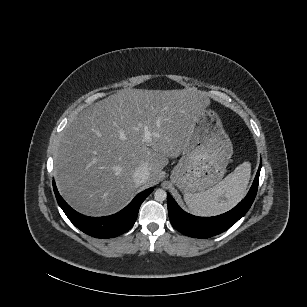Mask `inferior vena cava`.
<instances>
[{
  "instance_id": "602c4592",
  "label": "inferior vena cava",
  "mask_w": 307,
  "mask_h": 307,
  "mask_svg": "<svg viewBox=\"0 0 307 307\" xmlns=\"http://www.w3.org/2000/svg\"><path fill=\"white\" fill-rule=\"evenodd\" d=\"M149 177V168L146 164L140 166L133 173V181L137 186L143 185Z\"/></svg>"
}]
</instances>
